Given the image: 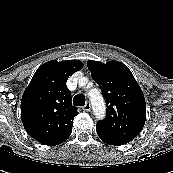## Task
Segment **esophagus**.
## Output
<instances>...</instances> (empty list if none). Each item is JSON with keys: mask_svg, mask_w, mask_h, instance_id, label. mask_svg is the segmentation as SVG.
I'll return each instance as SVG.
<instances>
[{"mask_svg": "<svg viewBox=\"0 0 173 173\" xmlns=\"http://www.w3.org/2000/svg\"><path fill=\"white\" fill-rule=\"evenodd\" d=\"M83 110L86 112H89L91 110V104L89 102H87L84 107Z\"/></svg>", "mask_w": 173, "mask_h": 173, "instance_id": "1", "label": "esophagus"}]
</instances>
